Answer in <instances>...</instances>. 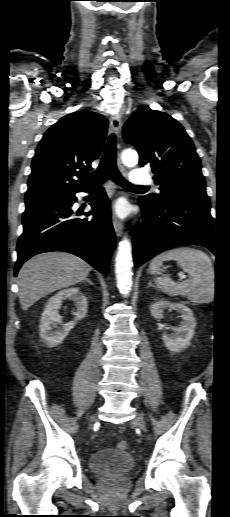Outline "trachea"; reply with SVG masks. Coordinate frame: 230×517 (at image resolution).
<instances>
[{"instance_id":"obj_1","label":"trachea","mask_w":230,"mask_h":517,"mask_svg":"<svg viewBox=\"0 0 230 517\" xmlns=\"http://www.w3.org/2000/svg\"><path fill=\"white\" fill-rule=\"evenodd\" d=\"M116 156V139L115 135L111 134L99 167L91 173L92 186H99L106 180L112 179L116 184L126 189L148 188L147 186L133 185L124 179L118 171Z\"/></svg>"}]
</instances>
